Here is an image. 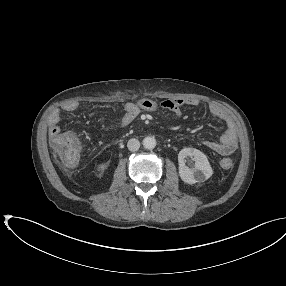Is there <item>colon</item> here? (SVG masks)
<instances>
[{
	"label": "colon",
	"mask_w": 286,
	"mask_h": 286,
	"mask_svg": "<svg viewBox=\"0 0 286 286\" xmlns=\"http://www.w3.org/2000/svg\"><path fill=\"white\" fill-rule=\"evenodd\" d=\"M53 148L60 160L66 167H73L80 157V142L73 133L56 134L51 138ZM233 166L232 159L225 158L221 161L223 169H230Z\"/></svg>",
	"instance_id": "obj_1"
}]
</instances>
